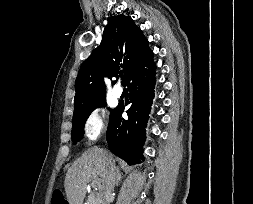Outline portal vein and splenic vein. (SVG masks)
<instances>
[{"mask_svg":"<svg viewBox=\"0 0 253 204\" xmlns=\"http://www.w3.org/2000/svg\"><path fill=\"white\" fill-rule=\"evenodd\" d=\"M95 184H96L97 186H100V185H101V182H100V181H95Z\"/></svg>","mask_w":253,"mask_h":204,"instance_id":"18ae733b","label":"portal vein and splenic vein"}]
</instances>
